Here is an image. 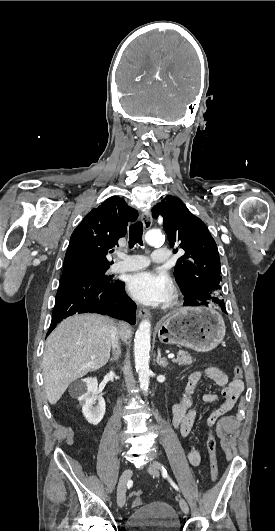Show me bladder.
Here are the masks:
<instances>
[{
	"instance_id": "bladder-1",
	"label": "bladder",
	"mask_w": 275,
	"mask_h": 531,
	"mask_svg": "<svg viewBox=\"0 0 275 531\" xmlns=\"http://www.w3.org/2000/svg\"><path fill=\"white\" fill-rule=\"evenodd\" d=\"M180 527L174 508L164 501L138 507L128 519L131 531H180Z\"/></svg>"
}]
</instances>
